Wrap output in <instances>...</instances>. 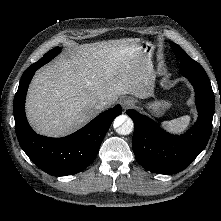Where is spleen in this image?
Returning a JSON list of instances; mask_svg holds the SVG:
<instances>
[{
	"label": "spleen",
	"mask_w": 221,
	"mask_h": 221,
	"mask_svg": "<svg viewBox=\"0 0 221 221\" xmlns=\"http://www.w3.org/2000/svg\"><path fill=\"white\" fill-rule=\"evenodd\" d=\"M190 116H182L170 121H165L162 123L163 126H166L172 132H180L185 130L190 123Z\"/></svg>",
	"instance_id": "spleen-1"
}]
</instances>
